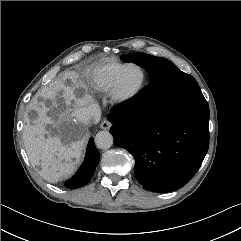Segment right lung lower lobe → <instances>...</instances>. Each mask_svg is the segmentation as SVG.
I'll use <instances>...</instances> for the list:
<instances>
[{"instance_id": "1", "label": "right lung lower lobe", "mask_w": 241, "mask_h": 241, "mask_svg": "<svg viewBox=\"0 0 241 241\" xmlns=\"http://www.w3.org/2000/svg\"><path fill=\"white\" fill-rule=\"evenodd\" d=\"M99 160L100 153L96 149L93 138H91L87 146L83 164L75 175L65 183V186L74 189L86 185L91 180Z\"/></svg>"}]
</instances>
